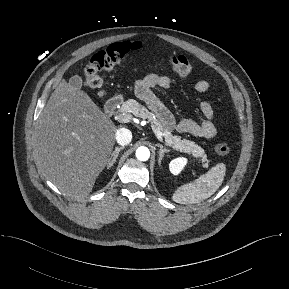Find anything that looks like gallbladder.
<instances>
[{"label":"gallbladder","mask_w":289,"mask_h":289,"mask_svg":"<svg viewBox=\"0 0 289 289\" xmlns=\"http://www.w3.org/2000/svg\"><path fill=\"white\" fill-rule=\"evenodd\" d=\"M69 84L72 85L74 88H81L82 86V79L78 75L72 76L69 79Z\"/></svg>","instance_id":"bac80fb5"}]
</instances>
